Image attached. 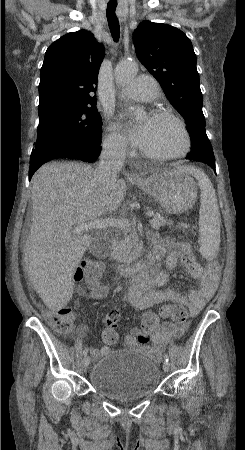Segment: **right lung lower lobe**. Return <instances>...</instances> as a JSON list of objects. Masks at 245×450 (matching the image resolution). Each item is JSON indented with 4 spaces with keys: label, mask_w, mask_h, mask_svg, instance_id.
Returning a JSON list of instances; mask_svg holds the SVG:
<instances>
[{
    "label": "right lung lower lobe",
    "mask_w": 245,
    "mask_h": 450,
    "mask_svg": "<svg viewBox=\"0 0 245 450\" xmlns=\"http://www.w3.org/2000/svg\"><path fill=\"white\" fill-rule=\"evenodd\" d=\"M101 150L100 145L91 148H74L65 149L56 152H42L36 155H31L30 168H29V180L32 178L34 172L45 162L61 157H71L80 159L86 162L95 161Z\"/></svg>",
    "instance_id": "98d812e1"
}]
</instances>
